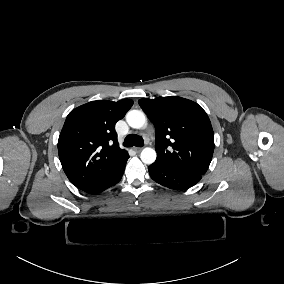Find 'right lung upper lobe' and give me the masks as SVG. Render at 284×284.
I'll return each mask as SVG.
<instances>
[{
    "label": "right lung upper lobe",
    "mask_w": 284,
    "mask_h": 284,
    "mask_svg": "<svg viewBox=\"0 0 284 284\" xmlns=\"http://www.w3.org/2000/svg\"><path fill=\"white\" fill-rule=\"evenodd\" d=\"M132 105L131 99L98 100L68 114L58 139V153L68 179L80 190L97 185L128 156L119 148L115 124Z\"/></svg>",
    "instance_id": "obj_1"
}]
</instances>
